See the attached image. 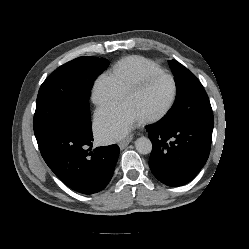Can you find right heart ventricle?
I'll return each instance as SVG.
<instances>
[{
  "label": "right heart ventricle",
  "instance_id": "right-heart-ventricle-1",
  "mask_svg": "<svg viewBox=\"0 0 249 249\" xmlns=\"http://www.w3.org/2000/svg\"><path fill=\"white\" fill-rule=\"evenodd\" d=\"M160 71H162L161 68L149 59L141 56H129L119 61L110 74L125 92L132 83L143 75Z\"/></svg>",
  "mask_w": 249,
  "mask_h": 249
}]
</instances>
